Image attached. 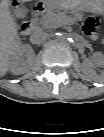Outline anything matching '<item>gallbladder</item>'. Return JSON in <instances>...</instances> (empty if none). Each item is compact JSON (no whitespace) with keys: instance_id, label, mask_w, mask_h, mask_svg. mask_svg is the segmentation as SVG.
I'll return each mask as SVG.
<instances>
[{"instance_id":"obj_1","label":"gallbladder","mask_w":104,"mask_h":137,"mask_svg":"<svg viewBox=\"0 0 104 137\" xmlns=\"http://www.w3.org/2000/svg\"><path fill=\"white\" fill-rule=\"evenodd\" d=\"M26 14H27V9L25 6H20L13 10V15H15L18 18H23L26 16Z\"/></svg>"}]
</instances>
